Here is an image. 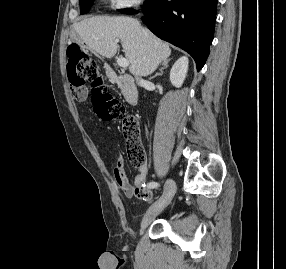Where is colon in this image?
<instances>
[{"label": "colon", "instance_id": "1", "mask_svg": "<svg viewBox=\"0 0 286 269\" xmlns=\"http://www.w3.org/2000/svg\"><path fill=\"white\" fill-rule=\"evenodd\" d=\"M68 76L72 84V95L77 98L79 91L87 83L93 88L94 111L103 120H120L122 135L131 165L140 168L146 164L138 120L133 116H124V105L114 98L109 89L103 85L97 61L84 52L78 44L70 43L66 49ZM137 198L149 201L152 192L144 185L135 188Z\"/></svg>", "mask_w": 286, "mask_h": 269}]
</instances>
